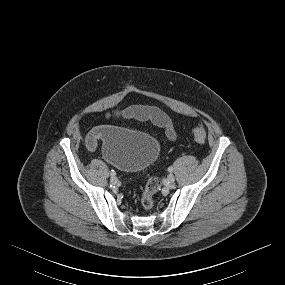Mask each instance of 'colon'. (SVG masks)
I'll return each mask as SVG.
<instances>
[{
	"label": "colon",
	"mask_w": 285,
	"mask_h": 285,
	"mask_svg": "<svg viewBox=\"0 0 285 285\" xmlns=\"http://www.w3.org/2000/svg\"><path fill=\"white\" fill-rule=\"evenodd\" d=\"M191 136L197 143H203L206 139V130L202 123L196 124L191 130ZM160 187V180L157 177L150 178L141 198V204L145 209H151L154 205L153 195Z\"/></svg>",
	"instance_id": "1"
}]
</instances>
